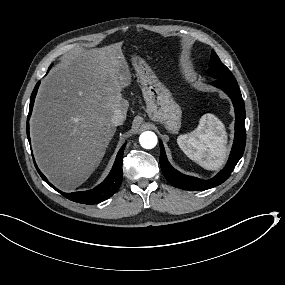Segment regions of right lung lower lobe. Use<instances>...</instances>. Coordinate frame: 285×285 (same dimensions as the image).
I'll list each match as a JSON object with an SVG mask.
<instances>
[{
    "instance_id": "98d812e1",
    "label": "right lung lower lobe",
    "mask_w": 285,
    "mask_h": 285,
    "mask_svg": "<svg viewBox=\"0 0 285 285\" xmlns=\"http://www.w3.org/2000/svg\"><path fill=\"white\" fill-rule=\"evenodd\" d=\"M50 69V68H49ZM40 85V81L36 84L32 95L30 99V106H29V114H28V120L29 117L31 116L35 96L37 94L38 87ZM27 137L30 142V136H29V122L27 121ZM126 146V143L121 147L119 150L115 163L113 165V168L110 172V174L107 176V178L98 186H96L94 189L88 190V191H82V192H73V193H64L61 192L60 190L56 189L51 183L48 182L47 178L40 172L38 169L35 161V167L42 177V179L50 185L53 189L61 193L64 197H66L69 200H72L74 202L78 203H83V204H96L99 202H102L109 197H111L120 187L121 182H122V176H123V171H122V158H123V153H124V148Z\"/></svg>"
}]
</instances>
